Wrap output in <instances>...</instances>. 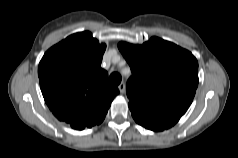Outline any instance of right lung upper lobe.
I'll return each mask as SVG.
<instances>
[{
    "mask_svg": "<svg viewBox=\"0 0 238 158\" xmlns=\"http://www.w3.org/2000/svg\"><path fill=\"white\" fill-rule=\"evenodd\" d=\"M106 45L89 31L70 35L42 57L38 76L49 109L68 124L105 117L119 90L100 67Z\"/></svg>",
    "mask_w": 238,
    "mask_h": 158,
    "instance_id": "1",
    "label": "right lung upper lobe"
}]
</instances>
